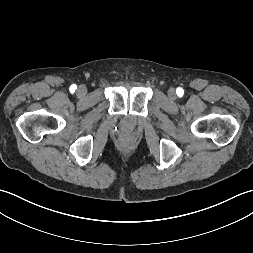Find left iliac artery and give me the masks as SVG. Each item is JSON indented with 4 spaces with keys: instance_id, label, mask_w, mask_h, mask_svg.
<instances>
[{
    "instance_id": "44dca946",
    "label": "left iliac artery",
    "mask_w": 253,
    "mask_h": 253,
    "mask_svg": "<svg viewBox=\"0 0 253 253\" xmlns=\"http://www.w3.org/2000/svg\"><path fill=\"white\" fill-rule=\"evenodd\" d=\"M176 93H177L178 96L181 97L184 94V90L179 87V88H177Z\"/></svg>"
}]
</instances>
